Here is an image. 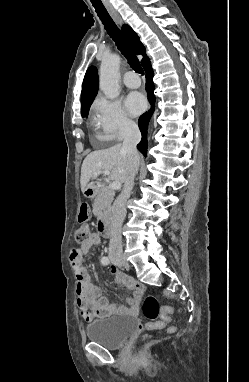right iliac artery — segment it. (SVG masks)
<instances>
[{"instance_id": "1", "label": "right iliac artery", "mask_w": 249, "mask_h": 382, "mask_svg": "<svg viewBox=\"0 0 249 382\" xmlns=\"http://www.w3.org/2000/svg\"><path fill=\"white\" fill-rule=\"evenodd\" d=\"M101 262H102L103 265H108V264H109V259H108V257H103V258L101 259Z\"/></svg>"}]
</instances>
